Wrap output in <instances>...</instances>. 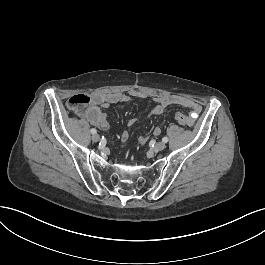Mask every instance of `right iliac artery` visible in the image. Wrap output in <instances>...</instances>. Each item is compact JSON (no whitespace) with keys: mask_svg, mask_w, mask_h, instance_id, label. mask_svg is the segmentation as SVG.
I'll return each mask as SVG.
<instances>
[{"mask_svg":"<svg viewBox=\"0 0 265 265\" xmlns=\"http://www.w3.org/2000/svg\"><path fill=\"white\" fill-rule=\"evenodd\" d=\"M90 132H91L92 134H96V133H97V130L94 129V128H92V129L90 130Z\"/></svg>","mask_w":265,"mask_h":265,"instance_id":"right-iliac-artery-1","label":"right iliac artery"}]
</instances>
